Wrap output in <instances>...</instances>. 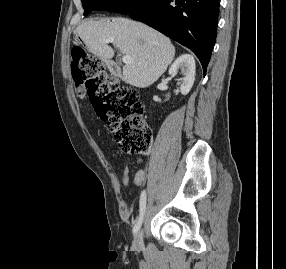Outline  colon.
I'll list each match as a JSON object with an SVG mask.
<instances>
[{
    "label": "colon",
    "instance_id": "1",
    "mask_svg": "<svg viewBox=\"0 0 286 269\" xmlns=\"http://www.w3.org/2000/svg\"><path fill=\"white\" fill-rule=\"evenodd\" d=\"M70 55L76 85L87 89L96 114L107 123L119 147L145 155L152 144V131L143 119L138 93L112 78L102 60L82 45H73Z\"/></svg>",
    "mask_w": 286,
    "mask_h": 269
}]
</instances>
